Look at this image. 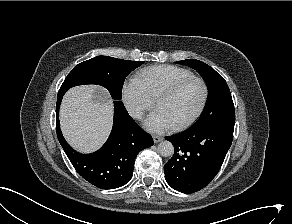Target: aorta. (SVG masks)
I'll return each instance as SVG.
<instances>
[{"label": "aorta", "instance_id": "1", "mask_svg": "<svg viewBox=\"0 0 292 224\" xmlns=\"http://www.w3.org/2000/svg\"><path fill=\"white\" fill-rule=\"evenodd\" d=\"M158 153L163 157H169L174 154V146L169 141H162L158 145Z\"/></svg>", "mask_w": 292, "mask_h": 224}]
</instances>
